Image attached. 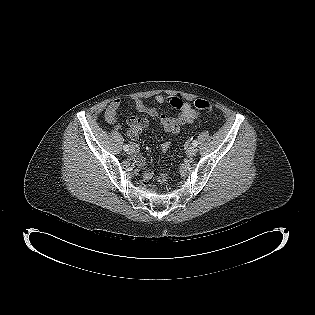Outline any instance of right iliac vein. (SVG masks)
<instances>
[{
	"label": "right iliac vein",
	"instance_id": "1",
	"mask_svg": "<svg viewBox=\"0 0 315 315\" xmlns=\"http://www.w3.org/2000/svg\"><path fill=\"white\" fill-rule=\"evenodd\" d=\"M134 152H135V150H134L133 147H131V148L128 150V153H129V154H133Z\"/></svg>",
	"mask_w": 315,
	"mask_h": 315
}]
</instances>
